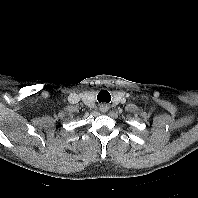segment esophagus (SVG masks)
Listing matches in <instances>:
<instances>
[{"mask_svg":"<svg viewBox=\"0 0 198 198\" xmlns=\"http://www.w3.org/2000/svg\"><path fill=\"white\" fill-rule=\"evenodd\" d=\"M107 110H108V106H107V105H101V106H100V111H101L102 113H105Z\"/></svg>","mask_w":198,"mask_h":198,"instance_id":"1","label":"esophagus"}]
</instances>
